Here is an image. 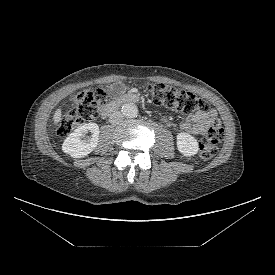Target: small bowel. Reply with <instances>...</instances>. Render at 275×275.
I'll return each mask as SVG.
<instances>
[{"label":"small bowel","mask_w":275,"mask_h":275,"mask_svg":"<svg viewBox=\"0 0 275 275\" xmlns=\"http://www.w3.org/2000/svg\"><path fill=\"white\" fill-rule=\"evenodd\" d=\"M122 92L123 86L120 83H115L109 87V93L113 97L120 95ZM215 119L216 112L214 110L197 112L180 122L178 128L191 134L200 135ZM163 122L169 127L173 126L172 122L167 118H164Z\"/></svg>","instance_id":"small-bowel-1"}]
</instances>
